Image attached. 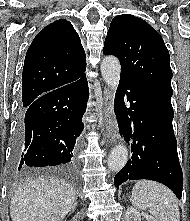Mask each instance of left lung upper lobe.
Here are the masks:
<instances>
[{
	"label": "left lung upper lobe",
	"instance_id": "left-lung-upper-lobe-1",
	"mask_svg": "<svg viewBox=\"0 0 190 221\" xmlns=\"http://www.w3.org/2000/svg\"><path fill=\"white\" fill-rule=\"evenodd\" d=\"M103 53L119 59L120 79L173 94L169 52L161 35L144 20L128 14L116 16Z\"/></svg>",
	"mask_w": 190,
	"mask_h": 221
}]
</instances>
